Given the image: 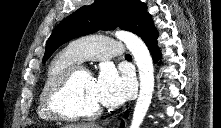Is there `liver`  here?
Listing matches in <instances>:
<instances>
[{
	"label": "liver",
	"instance_id": "6515ba94",
	"mask_svg": "<svg viewBox=\"0 0 221 128\" xmlns=\"http://www.w3.org/2000/svg\"><path fill=\"white\" fill-rule=\"evenodd\" d=\"M64 128H97V127L92 124H70L66 125Z\"/></svg>",
	"mask_w": 221,
	"mask_h": 128
}]
</instances>
